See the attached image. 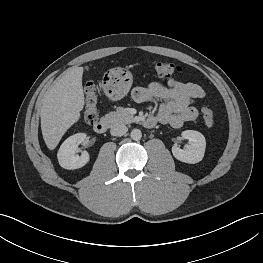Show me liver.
<instances>
[{
  "label": "liver",
  "instance_id": "liver-1",
  "mask_svg": "<svg viewBox=\"0 0 263 263\" xmlns=\"http://www.w3.org/2000/svg\"><path fill=\"white\" fill-rule=\"evenodd\" d=\"M83 67H72L46 91L40 108L41 130L50 150L80 118L84 107Z\"/></svg>",
  "mask_w": 263,
  "mask_h": 263
}]
</instances>
